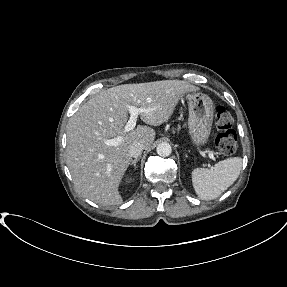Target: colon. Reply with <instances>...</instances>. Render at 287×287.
<instances>
[{"label": "colon", "instance_id": "1", "mask_svg": "<svg viewBox=\"0 0 287 287\" xmlns=\"http://www.w3.org/2000/svg\"><path fill=\"white\" fill-rule=\"evenodd\" d=\"M214 120L217 129L220 131L215 139L216 147L224 155L233 154L237 148V134L232 129V115L224 106H217Z\"/></svg>", "mask_w": 287, "mask_h": 287}]
</instances>
